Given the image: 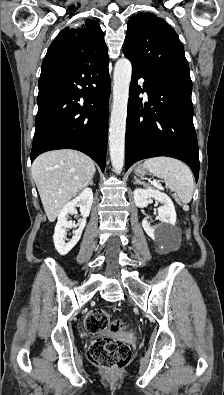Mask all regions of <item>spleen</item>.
Here are the masks:
<instances>
[{"instance_id":"3e777b00","label":"spleen","mask_w":224,"mask_h":395,"mask_svg":"<svg viewBox=\"0 0 224 395\" xmlns=\"http://www.w3.org/2000/svg\"><path fill=\"white\" fill-rule=\"evenodd\" d=\"M143 166L150 173L164 180L166 186L176 192L179 200L187 204L194 191V178L191 170L183 162L170 157H154L145 160Z\"/></svg>"}]
</instances>
